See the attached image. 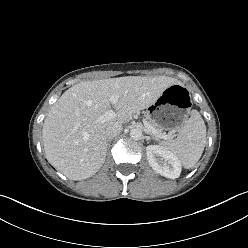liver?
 Wrapping results in <instances>:
<instances>
[{
  "label": "liver",
  "instance_id": "obj_1",
  "mask_svg": "<svg viewBox=\"0 0 248 248\" xmlns=\"http://www.w3.org/2000/svg\"><path fill=\"white\" fill-rule=\"evenodd\" d=\"M174 84L180 82L168 76H125L75 84L62 94L44 121L42 137L47 159L72 180L93 176L106 158V128L122 125ZM111 95L119 96L114 104ZM111 104L115 117L99 122Z\"/></svg>",
  "mask_w": 248,
  "mask_h": 248
}]
</instances>
